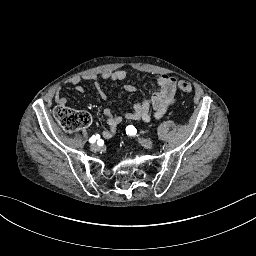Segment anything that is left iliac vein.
<instances>
[{
	"label": "left iliac vein",
	"mask_w": 256,
	"mask_h": 256,
	"mask_svg": "<svg viewBox=\"0 0 256 256\" xmlns=\"http://www.w3.org/2000/svg\"><path fill=\"white\" fill-rule=\"evenodd\" d=\"M139 143L144 148H152L153 147V141L150 139H144V138L139 139Z\"/></svg>",
	"instance_id": "left-iliac-vein-1"
}]
</instances>
